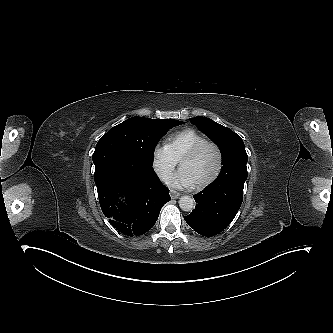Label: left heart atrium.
Returning a JSON list of instances; mask_svg holds the SVG:
<instances>
[{"mask_svg":"<svg viewBox=\"0 0 333 333\" xmlns=\"http://www.w3.org/2000/svg\"><path fill=\"white\" fill-rule=\"evenodd\" d=\"M167 184L173 188L181 189L191 187L194 182L184 168L166 180Z\"/></svg>","mask_w":333,"mask_h":333,"instance_id":"obj_1","label":"left heart atrium"}]
</instances>
